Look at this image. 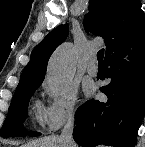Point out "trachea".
<instances>
[{"label":"trachea","mask_w":145,"mask_h":147,"mask_svg":"<svg viewBox=\"0 0 145 147\" xmlns=\"http://www.w3.org/2000/svg\"><path fill=\"white\" fill-rule=\"evenodd\" d=\"M103 57H104V49H101L97 53V60H98L99 65H104Z\"/></svg>","instance_id":"trachea-1"}]
</instances>
